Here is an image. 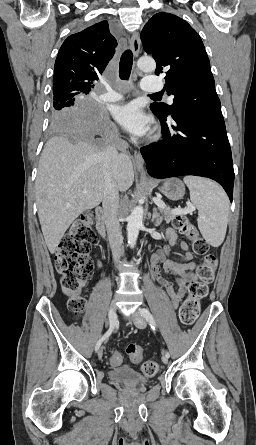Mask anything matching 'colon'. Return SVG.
<instances>
[{"label": "colon", "mask_w": 256, "mask_h": 445, "mask_svg": "<svg viewBox=\"0 0 256 445\" xmlns=\"http://www.w3.org/2000/svg\"><path fill=\"white\" fill-rule=\"evenodd\" d=\"M94 221L95 216L91 211L78 216L60 241L55 254L60 288L68 298V309L73 317H77L85 307L81 292L93 270L89 252L95 243L92 230ZM174 224L184 236L192 240L193 252L203 257L197 268V279L189 284L188 295L179 309L180 322L183 325H192L199 315L200 302L207 296L209 286L214 280L217 258L209 253V244L199 236L194 225L185 216H177ZM127 353L134 363L142 360L143 351L136 345H129ZM110 360L112 364L118 365L122 361V355L113 353ZM157 370L158 365L154 361H146L142 365V371L148 377L154 376Z\"/></svg>", "instance_id": "colon-1"}]
</instances>
